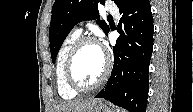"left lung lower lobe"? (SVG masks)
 Segmentation results:
<instances>
[{"label":"left lung lower lobe","instance_id":"1","mask_svg":"<svg viewBox=\"0 0 193 112\" xmlns=\"http://www.w3.org/2000/svg\"><path fill=\"white\" fill-rule=\"evenodd\" d=\"M119 11L120 36L113 48V70L107 85L95 97L104 98L129 112H145L153 51L150 2L129 0Z\"/></svg>","mask_w":193,"mask_h":112}]
</instances>
